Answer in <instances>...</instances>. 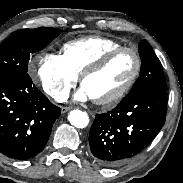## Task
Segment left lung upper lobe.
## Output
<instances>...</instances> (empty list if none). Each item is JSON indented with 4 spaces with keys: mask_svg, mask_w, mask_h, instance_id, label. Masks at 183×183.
Instances as JSON below:
<instances>
[{
    "mask_svg": "<svg viewBox=\"0 0 183 183\" xmlns=\"http://www.w3.org/2000/svg\"><path fill=\"white\" fill-rule=\"evenodd\" d=\"M139 54L142 60L140 76L128 95L148 89L166 90L161 63L146 40L139 44Z\"/></svg>",
    "mask_w": 183,
    "mask_h": 183,
    "instance_id": "5c2ea615",
    "label": "left lung upper lobe"
}]
</instances>
